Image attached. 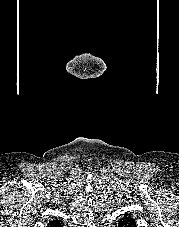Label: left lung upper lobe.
Instances as JSON below:
<instances>
[{"label":"left lung upper lobe","mask_w":179,"mask_h":227,"mask_svg":"<svg viewBox=\"0 0 179 227\" xmlns=\"http://www.w3.org/2000/svg\"><path fill=\"white\" fill-rule=\"evenodd\" d=\"M130 214L125 213L124 218L120 221V225H123L125 227H133L136 225L135 221L133 218L129 217Z\"/></svg>","instance_id":"obj_1"}]
</instances>
